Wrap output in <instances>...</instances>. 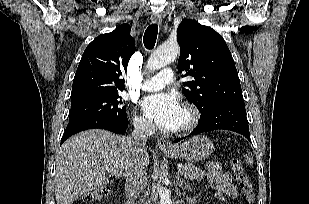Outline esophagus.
<instances>
[{
	"mask_svg": "<svg viewBox=\"0 0 309 204\" xmlns=\"http://www.w3.org/2000/svg\"><path fill=\"white\" fill-rule=\"evenodd\" d=\"M151 21L153 24H161L162 22V18L159 14H153L151 16ZM157 146L161 149V150H171L173 148V145L171 144V142L168 139L165 138H160L157 141Z\"/></svg>",
	"mask_w": 309,
	"mask_h": 204,
	"instance_id": "obj_1",
	"label": "esophagus"
}]
</instances>
